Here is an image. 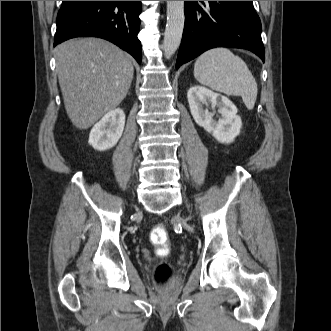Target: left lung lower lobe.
<instances>
[{"mask_svg":"<svg viewBox=\"0 0 331 331\" xmlns=\"http://www.w3.org/2000/svg\"><path fill=\"white\" fill-rule=\"evenodd\" d=\"M184 11L176 69L215 47L247 49L265 61L261 22L252 1H185Z\"/></svg>","mask_w":331,"mask_h":331,"instance_id":"0a47b994","label":"left lung lower lobe"}]
</instances>
